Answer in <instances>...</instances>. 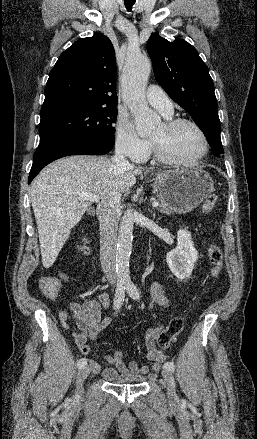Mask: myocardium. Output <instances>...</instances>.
<instances>
[{
    "label": "myocardium",
    "instance_id": "obj_1",
    "mask_svg": "<svg viewBox=\"0 0 257 439\" xmlns=\"http://www.w3.org/2000/svg\"><path fill=\"white\" fill-rule=\"evenodd\" d=\"M163 125L168 130H173V129H175L179 126H182V125L191 126L199 134V136L202 140V143H203V149H202L201 153L193 160H190V161L176 160V159L168 156L166 151L161 147L160 143L156 139L151 138V143H152L154 153L159 160L166 162V163L173 164L174 166H177V167L191 168V167H195L196 165H198L207 156V154L209 152V141H208V138H207L205 132L202 130V128L197 123H195L192 120L185 119V118H176V119L166 120L163 123Z\"/></svg>",
    "mask_w": 257,
    "mask_h": 439
}]
</instances>
